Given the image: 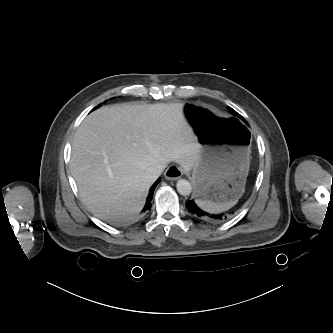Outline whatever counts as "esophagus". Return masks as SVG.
<instances>
[{"instance_id":"esophagus-1","label":"esophagus","mask_w":333,"mask_h":333,"mask_svg":"<svg viewBox=\"0 0 333 333\" xmlns=\"http://www.w3.org/2000/svg\"><path fill=\"white\" fill-rule=\"evenodd\" d=\"M183 175V170L179 167L175 166H170L166 171H165V178L167 180H177Z\"/></svg>"}]
</instances>
